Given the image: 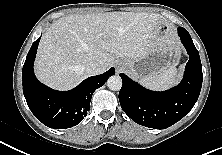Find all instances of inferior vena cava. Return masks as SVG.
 <instances>
[{
    "label": "inferior vena cava",
    "instance_id": "inferior-vena-cava-1",
    "mask_svg": "<svg viewBox=\"0 0 222 155\" xmlns=\"http://www.w3.org/2000/svg\"><path fill=\"white\" fill-rule=\"evenodd\" d=\"M86 72L89 76L101 73V67L98 62H91L86 66Z\"/></svg>",
    "mask_w": 222,
    "mask_h": 155
}]
</instances>
